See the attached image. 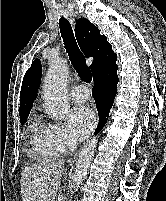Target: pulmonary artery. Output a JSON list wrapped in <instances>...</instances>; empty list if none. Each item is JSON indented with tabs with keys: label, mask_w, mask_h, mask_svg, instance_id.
Instances as JSON below:
<instances>
[{
	"label": "pulmonary artery",
	"mask_w": 166,
	"mask_h": 201,
	"mask_svg": "<svg viewBox=\"0 0 166 201\" xmlns=\"http://www.w3.org/2000/svg\"><path fill=\"white\" fill-rule=\"evenodd\" d=\"M70 97L76 102H84L90 97V93L86 87L77 86L71 90Z\"/></svg>",
	"instance_id": "e3ab8cb5"
}]
</instances>
